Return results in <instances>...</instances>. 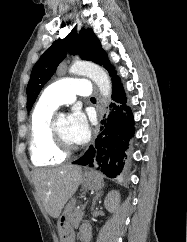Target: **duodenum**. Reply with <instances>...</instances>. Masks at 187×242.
<instances>
[{"instance_id": "duodenum-1", "label": "duodenum", "mask_w": 187, "mask_h": 242, "mask_svg": "<svg viewBox=\"0 0 187 242\" xmlns=\"http://www.w3.org/2000/svg\"><path fill=\"white\" fill-rule=\"evenodd\" d=\"M82 238H83V241H84V242H88L89 239H90V236H84V237H82Z\"/></svg>"}]
</instances>
